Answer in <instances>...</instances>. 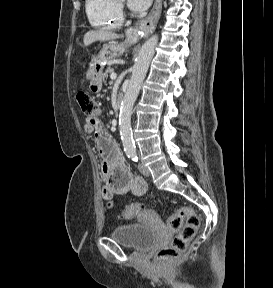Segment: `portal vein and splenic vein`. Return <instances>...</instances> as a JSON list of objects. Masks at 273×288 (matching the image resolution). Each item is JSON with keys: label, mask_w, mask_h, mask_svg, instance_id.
Listing matches in <instances>:
<instances>
[{"label": "portal vein and splenic vein", "mask_w": 273, "mask_h": 288, "mask_svg": "<svg viewBox=\"0 0 273 288\" xmlns=\"http://www.w3.org/2000/svg\"><path fill=\"white\" fill-rule=\"evenodd\" d=\"M116 77H117V74L116 73H111V75H110V78L112 79V80H114V79H116Z\"/></svg>", "instance_id": "18ae733b"}]
</instances>
